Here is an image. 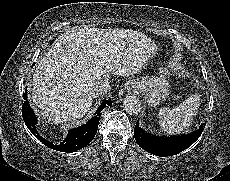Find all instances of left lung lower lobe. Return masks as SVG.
I'll return each instance as SVG.
<instances>
[{
  "label": "left lung lower lobe",
  "mask_w": 230,
  "mask_h": 181,
  "mask_svg": "<svg viewBox=\"0 0 230 181\" xmlns=\"http://www.w3.org/2000/svg\"><path fill=\"white\" fill-rule=\"evenodd\" d=\"M205 124L198 131L190 135L158 137L145 132L139 127L138 122L134 128V137L137 144L147 152L160 156L176 155L190 147L202 134Z\"/></svg>",
  "instance_id": "left-lung-lower-lobe-1"
}]
</instances>
